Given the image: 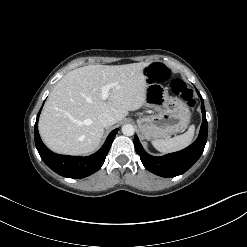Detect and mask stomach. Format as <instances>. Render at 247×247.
<instances>
[{
  "label": "stomach",
  "instance_id": "obj_1",
  "mask_svg": "<svg viewBox=\"0 0 247 247\" xmlns=\"http://www.w3.org/2000/svg\"><path fill=\"white\" fill-rule=\"evenodd\" d=\"M145 105L156 111L137 121L147 140L168 138L183 131L190 122L191 113L187 104L178 97L170 96L167 89L157 82L148 84Z\"/></svg>",
  "mask_w": 247,
  "mask_h": 247
}]
</instances>
